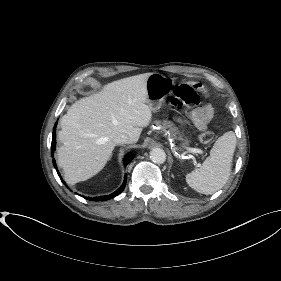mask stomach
<instances>
[{"label":"stomach","mask_w":281,"mask_h":281,"mask_svg":"<svg viewBox=\"0 0 281 281\" xmlns=\"http://www.w3.org/2000/svg\"><path fill=\"white\" fill-rule=\"evenodd\" d=\"M172 81L167 76L160 73H151L147 79V105L152 111L161 108L163 100L168 95Z\"/></svg>","instance_id":"1"}]
</instances>
